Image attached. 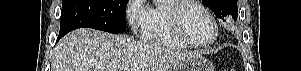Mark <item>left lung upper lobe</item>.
<instances>
[{
    "instance_id": "obj_1",
    "label": "left lung upper lobe",
    "mask_w": 301,
    "mask_h": 71,
    "mask_svg": "<svg viewBox=\"0 0 301 71\" xmlns=\"http://www.w3.org/2000/svg\"><path fill=\"white\" fill-rule=\"evenodd\" d=\"M204 3L220 19L231 15L234 20L238 17L237 0H203Z\"/></svg>"
}]
</instances>
